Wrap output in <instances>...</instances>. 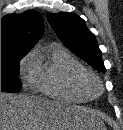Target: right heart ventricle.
Returning <instances> with one entry per match:
<instances>
[{
    "label": "right heart ventricle",
    "mask_w": 123,
    "mask_h": 130,
    "mask_svg": "<svg viewBox=\"0 0 123 130\" xmlns=\"http://www.w3.org/2000/svg\"><path fill=\"white\" fill-rule=\"evenodd\" d=\"M85 66L66 48L52 44L43 52L33 53L29 82L33 89L49 98L66 103H83L89 98L79 79Z\"/></svg>",
    "instance_id": "obj_1"
}]
</instances>
